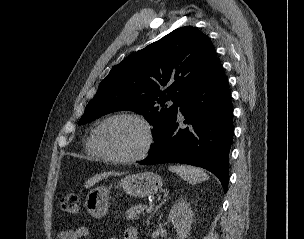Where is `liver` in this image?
Segmentation results:
<instances>
[{"instance_id": "6515ba94", "label": "liver", "mask_w": 304, "mask_h": 239, "mask_svg": "<svg viewBox=\"0 0 304 239\" xmlns=\"http://www.w3.org/2000/svg\"><path fill=\"white\" fill-rule=\"evenodd\" d=\"M119 173L117 172H103L101 174H97L93 177H91L85 184V188L88 189L90 187H92L93 185H95L97 182H99L100 180L107 178L108 176H112V175H117Z\"/></svg>"}]
</instances>
